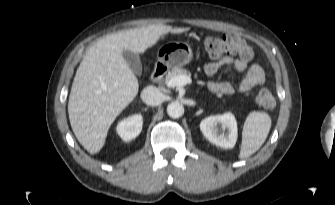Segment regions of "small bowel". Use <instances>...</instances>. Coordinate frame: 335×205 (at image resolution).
Segmentation results:
<instances>
[{"instance_id": "obj_1", "label": "small bowel", "mask_w": 335, "mask_h": 205, "mask_svg": "<svg viewBox=\"0 0 335 205\" xmlns=\"http://www.w3.org/2000/svg\"><path fill=\"white\" fill-rule=\"evenodd\" d=\"M224 66H233L237 72L244 74L243 78L237 86H233L226 81L209 83L208 88L210 91L220 94H232L234 92L244 93L264 82L265 75L260 65L253 64L247 66L245 60L232 56H225L217 61L207 63L205 65V72L207 75L213 76Z\"/></svg>"}]
</instances>
